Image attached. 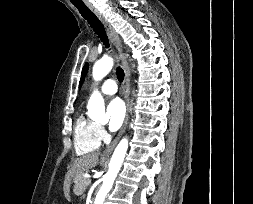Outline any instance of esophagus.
Segmentation results:
<instances>
[{"label": "esophagus", "instance_id": "esophagus-1", "mask_svg": "<svg viewBox=\"0 0 253 204\" xmlns=\"http://www.w3.org/2000/svg\"><path fill=\"white\" fill-rule=\"evenodd\" d=\"M87 6L98 17L100 22L103 24L112 44L116 47V49L119 51V53H122V51H123L122 43H121L118 35L116 34L115 30L111 26V24L104 18V16L92 4L87 3ZM122 65H123L124 73H125L124 84H123V94H124V100H125V104H126V116H125L124 123H123L118 135L112 141V143L105 149V151L102 154V157H109L111 155V153L113 152L117 143L119 142L120 138L124 134L127 124H128V119H129V114H130V97H129L130 69H129L128 63L125 58H122Z\"/></svg>", "mask_w": 253, "mask_h": 204}]
</instances>
